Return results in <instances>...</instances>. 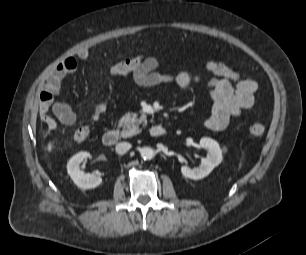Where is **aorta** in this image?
I'll list each match as a JSON object with an SVG mask.
<instances>
[{
	"instance_id": "obj_1",
	"label": "aorta",
	"mask_w": 306,
	"mask_h": 255,
	"mask_svg": "<svg viewBox=\"0 0 306 255\" xmlns=\"http://www.w3.org/2000/svg\"><path fill=\"white\" fill-rule=\"evenodd\" d=\"M140 155L141 157L144 159V160H151L154 155H155V152L152 148L150 147H143L141 150H140Z\"/></svg>"
}]
</instances>
